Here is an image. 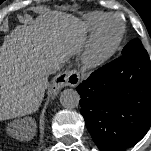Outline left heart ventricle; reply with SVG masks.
I'll use <instances>...</instances> for the list:
<instances>
[{
  "label": "left heart ventricle",
  "mask_w": 151,
  "mask_h": 151,
  "mask_svg": "<svg viewBox=\"0 0 151 151\" xmlns=\"http://www.w3.org/2000/svg\"><path fill=\"white\" fill-rule=\"evenodd\" d=\"M119 28H120L119 23L116 20L114 19L109 20L104 28L103 33L104 42L109 43L116 36V34L119 31Z\"/></svg>",
  "instance_id": "1"
}]
</instances>
